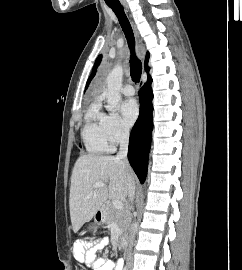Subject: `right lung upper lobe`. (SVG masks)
<instances>
[{
	"mask_svg": "<svg viewBox=\"0 0 242 270\" xmlns=\"http://www.w3.org/2000/svg\"><path fill=\"white\" fill-rule=\"evenodd\" d=\"M148 59H149V53H147V56H146V59H145V69H146V71L149 70L148 65H147L148 64ZM94 75H95V73H92V75L90 76V78H89V80L87 82V86H88L89 82L91 81V79L93 78Z\"/></svg>",
	"mask_w": 242,
	"mask_h": 270,
	"instance_id": "1",
	"label": "right lung upper lobe"
}]
</instances>
